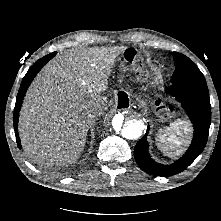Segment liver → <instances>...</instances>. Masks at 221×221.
<instances>
[{"label":"liver","mask_w":221,"mask_h":221,"mask_svg":"<svg viewBox=\"0 0 221 221\" xmlns=\"http://www.w3.org/2000/svg\"><path fill=\"white\" fill-rule=\"evenodd\" d=\"M125 48L67 52L44 67L20 112L19 135L29 157L63 164L79 158L91 124L107 109L100 93L107 90L113 64Z\"/></svg>","instance_id":"6515ba94"}]
</instances>
